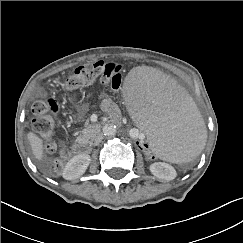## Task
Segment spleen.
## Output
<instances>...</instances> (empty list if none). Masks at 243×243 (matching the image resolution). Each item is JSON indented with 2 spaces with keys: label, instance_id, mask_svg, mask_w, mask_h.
I'll return each mask as SVG.
<instances>
[{
  "label": "spleen",
  "instance_id": "spleen-1",
  "mask_svg": "<svg viewBox=\"0 0 243 243\" xmlns=\"http://www.w3.org/2000/svg\"><path fill=\"white\" fill-rule=\"evenodd\" d=\"M122 96L136 124L165 160L184 163L203 150L207 131L194 102L157 69L145 66L130 72Z\"/></svg>",
  "mask_w": 243,
  "mask_h": 243
}]
</instances>
